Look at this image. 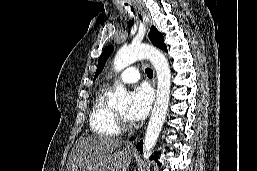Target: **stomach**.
Here are the masks:
<instances>
[{
    "label": "stomach",
    "mask_w": 257,
    "mask_h": 171,
    "mask_svg": "<svg viewBox=\"0 0 257 171\" xmlns=\"http://www.w3.org/2000/svg\"><path fill=\"white\" fill-rule=\"evenodd\" d=\"M132 152L119 149L109 154L100 164L97 171H127L132 159Z\"/></svg>",
    "instance_id": "obj_1"
}]
</instances>
